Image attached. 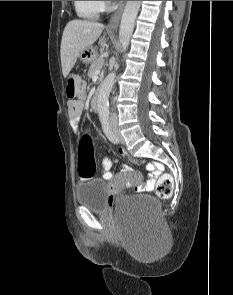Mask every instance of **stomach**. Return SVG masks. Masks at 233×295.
Listing matches in <instances>:
<instances>
[{
  "instance_id": "stomach-1",
  "label": "stomach",
  "mask_w": 233,
  "mask_h": 295,
  "mask_svg": "<svg viewBox=\"0 0 233 295\" xmlns=\"http://www.w3.org/2000/svg\"><path fill=\"white\" fill-rule=\"evenodd\" d=\"M79 57L82 62L90 63L94 60L95 54L90 48H86L80 53Z\"/></svg>"
}]
</instances>
